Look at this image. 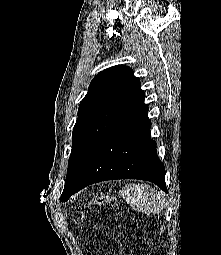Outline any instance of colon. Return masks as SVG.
Returning <instances> with one entry per match:
<instances>
[{
    "instance_id": "5ec220e1",
    "label": "colon",
    "mask_w": 221,
    "mask_h": 255,
    "mask_svg": "<svg viewBox=\"0 0 221 255\" xmlns=\"http://www.w3.org/2000/svg\"><path fill=\"white\" fill-rule=\"evenodd\" d=\"M116 200L113 196L100 192L92 197L90 200V205L96 207H102L104 205H114ZM87 255H92V253L88 252Z\"/></svg>"
}]
</instances>
